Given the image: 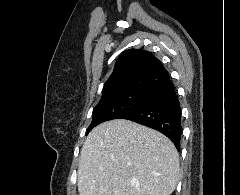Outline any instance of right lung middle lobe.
<instances>
[{
    "mask_svg": "<svg viewBox=\"0 0 240 195\" xmlns=\"http://www.w3.org/2000/svg\"><path fill=\"white\" fill-rule=\"evenodd\" d=\"M146 96V92H120L104 96L93 110V118L87 133L96 125L118 119L138 106Z\"/></svg>",
    "mask_w": 240,
    "mask_h": 195,
    "instance_id": "dd1d6c3e",
    "label": "right lung middle lobe"
}]
</instances>
